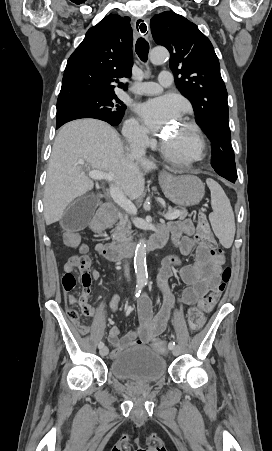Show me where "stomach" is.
Wrapping results in <instances>:
<instances>
[{
  "label": "stomach",
  "mask_w": 272,
  "mask_h": 451,
  "mask_svg": "<svg viewBox=\"0 0 272 451\" xmlns=\"http://www.w3.org/2000/svg\"><path fill=\"white\" fill-rule=\"evenodd\" d=\"M159 184L166 196L178 206H196L204 196V186L197 176L161 174Z\"/></svg>",
  "instance_id": "stomach-1"
}]
</instances>
